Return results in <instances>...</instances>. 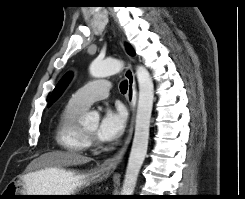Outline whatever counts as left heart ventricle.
I'll use <instances>...</instances> for the list:
<instances>
[{"label":"left heart ventricle","mask_w":245,"mask_h":199,"mask_svg":"<svg viewBox=\"0 0 245 199\" xmlns=\"http://www.w3.org/2000/svg\"><path fill=\"white\" fill-rule=\"evenodd\" d=\"M97 128H98V122L97 121H93V122H91L90 124H88V125H86L85 127H84V129L88 132V133H90V134H92V135H96V132H97Z\"/></svg>","instance_id":"1"}]
</instances>
